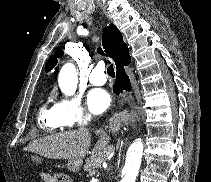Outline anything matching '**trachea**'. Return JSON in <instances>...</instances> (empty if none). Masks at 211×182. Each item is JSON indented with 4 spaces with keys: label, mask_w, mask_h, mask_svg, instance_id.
I'll list each match as a JSON object with an SVG mask.
<instances>
[{
    "label": "trachea",
    "mask_w": 211,
    "mask_h": 182,
    "mask_svg": "<svg viewBox=\"0 0 211 182\" xmlns=\"http://www.w3.org/2000/svg\"><path fill=\"white\" fill-rule=\"evenodd\" d=\"M107 73H108L109 76L115 77V72H114V67H113V65H110V66L107 68Z\"/></svg>",
    "instance_id": "1"
}]
</instances>
